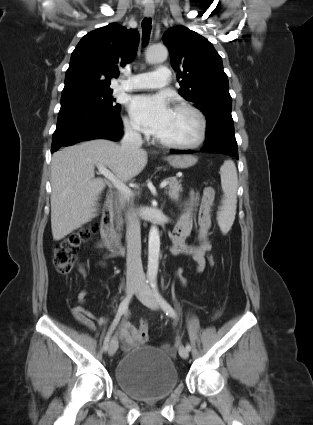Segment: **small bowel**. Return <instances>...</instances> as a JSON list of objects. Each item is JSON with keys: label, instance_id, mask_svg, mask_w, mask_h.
<instances>
[{"label": "small bowel", "instance_id": "obj_1", "mask_svg": "<svg viewBox=\"0 0 313 425\" xmlns=\"http://www.w3.org/2000/svg\"><path fill=\"white\" fill-rule=\"evenodd\" d=\"M214 201V190L210 187L202 191L201 196L195 192L190 193L189 201L184 212L177 220V225L172 235L171 252L174 255H187L196 263L197 271L203 272L206 267L205 254L211 250V244L207 239V233L211 225V208ZM199 205L197 218L194 215V209ZM197 228L199 244L190 246L185 243L186 238ZM100 265L105 267L106 262ZM87 297V291L81 290L77 295L79 305L72 307L74 318L87 329L93 331L96 324H103L106 319L87 310L83 304ZM119 338L123 341L126 348L136 345L138 340V330L127 321H123L118 331Z\"/></svg>", "mask_w": 313, "mask_h": 425}]
</instances>
